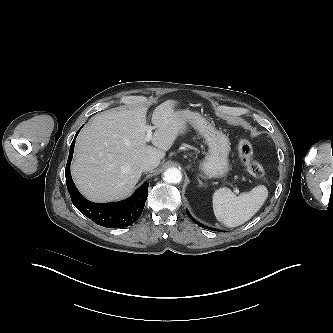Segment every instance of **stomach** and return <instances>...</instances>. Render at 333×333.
Here are the masks:
<instances>
[{
    "label": "stomach",
    "instance_id": "0dacf381",
    "mask_svg": "<svg viewBox=\"0 0 333 333\" xmlns=\"http://www.w3.org/2000/svg\"><path fill=\"white\" fill-rule=\"evenodd\" d=\"M176 113L201 135L209 151L200 163V170L208 178H222L229 171L230 141L222 131L217 130L203 115L188 109H177Z\"/></svg>",
    "mask_w": 333,
    "mask_h": 333
}]
</instances>
